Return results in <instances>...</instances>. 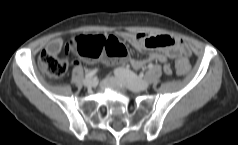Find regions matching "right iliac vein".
<instances>
[{
  "instance_id": "1",
  "label": "right iliac vein",
  "mask_w": 238,
  "mask_h": 145,
  "mask_svg": "<svg viewBox=\"0 0 238 145\" xmlns=\"http://www.w3.org/2000/svg\"><path fill=\"white\" fill-rule=\"evenodd\" d=\"M83 84L86 87H92L94 85V79L92 77L85 78Z\"/></svg>"
}]
</instances>
